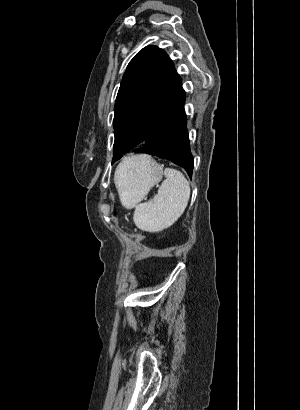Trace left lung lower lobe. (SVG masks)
Wrapping results in <instances>:
<instances>
[{
  "label": "left lung lower lobe",
  "instance_id": "left-lung-lower-lobe-1",
  "mask_svg": "<svg viewBox=\"0 0 300 410\" xmlns=\"http://www.w3.org/2000/svg\"><path fill=\"white\" fill-rule=\"evenodd\" d=\"M184 103L185 97L165 116L145 144L135 153L168 159L183 167L191 177L194 165L186 128Z\"/></svg>",
  "mask_w": 300,
  "mask_h": 410
}]
</instances>
